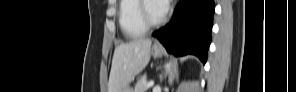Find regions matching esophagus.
I'll return each instance as SVG.
<instances>
[{"label": "esophagus", "mask_w": 296, "mask_h": 92, "mask_svg": "<svg viewBox=\"0 0 296 92\" xmlns=\"http://www.w3.org/2000/svg\"><path fill=\"white\" fill-rule=\"evenodd\" d=\"M155 46H156V47H159V46H160V44H159V43H155Z\"/></svg>", "instance_id": "1"}]
</instances>
